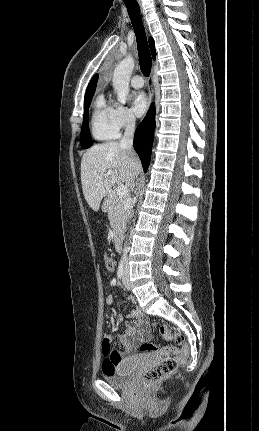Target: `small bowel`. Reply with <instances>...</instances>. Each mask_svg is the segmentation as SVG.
Segmentation results:
<instances>
[{"label":"small bowel","instance_id":"c3829d8e","mask_svg":"<svg viewBox=\"0 0 259 431\" xmlns=\"http://www.w3.org/2000/svg\"><path fill=\"white\" fill-rule=\"evenodd\" d=\"M107 305L112 306L114 299L111 295L105 298ZM128 318L137 321H127L125 333L119 337L123 345L122 351L111 350L108 354H104L105 359L103 362V371L106 368L114 370L121 364L133 361L137 356V349L149 336V327L146 321L143 319V314L140 310H132L128 315ZM106 340L111 342L113 338L109 335H105L103 341Z\"/></svg>","mask_w":259,"mask_h":431}]
</instances>
